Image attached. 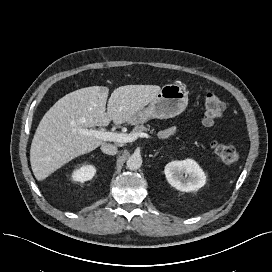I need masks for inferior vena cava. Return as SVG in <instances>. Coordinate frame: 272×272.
<instances>
[{"label":"inferior vena cava","mask_w":272,"mask_h":272,"mask_svg":"<svg viewBox=\"0 0 272 272\" xmlns=\"http://www.w3.org/2000/svg\"><path fill=\"white\" fill-rule=\"evenodd\" d=\"M101 150L102 152L109 155H115L117 153V147L109 143H103L101 146Z\"/></svg>","instance_id":"1"}]
</instances>
